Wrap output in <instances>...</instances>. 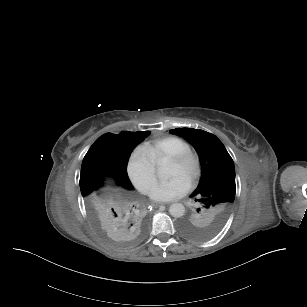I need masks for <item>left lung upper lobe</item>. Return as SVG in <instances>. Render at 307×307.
Masks as SVG:
<instances>
[{"label": "left lung upper lobe", "mask_w": 307, "mask_h": 307, "mask_svg": "<svg viewBox=\"0 0 307 307\" xmlns=\"http://www.w3.org/2000/svg\"><path fill=\"white\" fill-rule=\"evenodd\" d=\"M169 132L194 146L202 168L199 185L191 194L197 208L181 221L180 229L191 239H209L224 226L235 199L233 160L222 142L211 133L192 128H177Z\"/></svg>", "instance_id": "left-lung-upper-lobe-1"}]
</instances>
